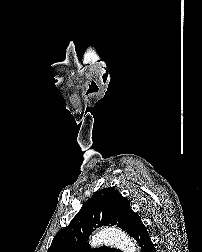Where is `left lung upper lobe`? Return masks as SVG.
I'll list each match as a JSON object with an SVG mask.
<instances>
[{
	"instance_id": "left-lung-upper-lobe-1",
	"label": "left lung upper lobe",
	"mask_w": 202,
	"mask_h": 252,
	"mask_svg": "<svg viewBox=\"0 0 202 252\" xmlns=\"http://www.w3.org/2000/svg\"><path fill=\"white\" fill-rule=\"evenodd\" d=\"M139 221L128 200L115 188L96 191L70 224L55 235L47 252H121L106 246L91 249L86 241L94 229L108 225H116L133 237Z\"/></svg>"
}]
</instances>
